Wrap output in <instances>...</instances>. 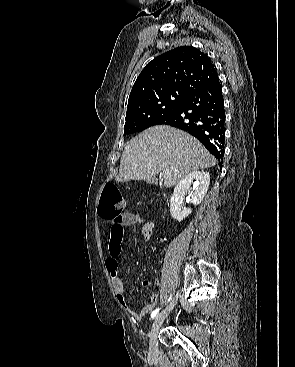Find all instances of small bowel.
I'll return each mask as SVG.
<instances>
[{
    "mask_svg": "<svg viewBox=\"0 0 295 367\" xmlns=\"http://www.w3.org/2000/svg\"><path fill=\"white\" fill-rule=\"evenodd\" d=\"M133 225L142 226V236L145 240H148L152 234L154 224L148 219L142 218L136 212H127L121 216L118 221H112L110 227V238H109V256L105 260V266L111 276L112 285L119 303L127 310L135 319H141L147 315L157 304L159 296L153 294L140 311L130 310L127 305V292L123 283L121 273L118 268V257L121 253V242L123 238L124 228ZM143 286H150L152 284L158 285L159 280L143 281Z\"/></svg>",
    "mask_w": 295,
    "mask_h": 367,
    "instance_id": "c3829d8e",
    "label": "small bowel"
}]
</instances>
